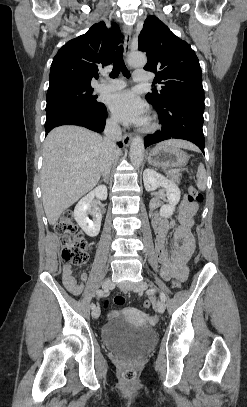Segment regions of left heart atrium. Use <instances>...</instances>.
I'll use <instances>...</instances> for the list:
<instances>
[{"instance_id":"left-heart-atrium-1","label":"left heart atrium","mask_w":247,"mask_h":407,"mask_svg":"<svg viewBox=\"0 0 247 407\" xmlns=\"http://www.w3.org/2000/svg\"><path fill=\"white\" fill-rule=\"evenodd\" d=\"M114 118L125 124L143 125L147 121V107L133 92L122 91L107 100Z\"/></svg>"}]
</instances>
